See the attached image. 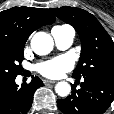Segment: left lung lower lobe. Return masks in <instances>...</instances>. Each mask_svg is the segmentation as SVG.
<instances>
[{
	"label": "left lung lower lobe",
	"instance_id": "left-lung-lower-lobe-1",
	"mask_svg": "<svg viewBox=\"0 0 114 114\" xmlns=\"http://www.w3.org/2000/svg\"><path fill=\"white\" fill-rule=\"evenodd\" d=\"M74 78L79 83L81 78ZM82 78L80 89L73 85L70 96L57 100L59 109L64 114H103L114 100V79L99 76Z\"/></svg>",
	"mask_w": 114,
	"mask_h": 114
}]
</instances>
